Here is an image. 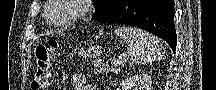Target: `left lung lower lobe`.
<instances>
[{"instance_id": "1", "label": "left lung lower lobe", "mask_w": 216, "mask_h": 90, "mask_svg": "<svg viewBox=\"0 0 216 90\" xmlns=\"http://www.w3.org/2000/svg\"><path fill=\"white\" fill-rule=\"evenodd\" d=\"M174 4L173 0H121L92 20L137 26L162 38L175 51Z\"/></svg>"}]
</instances>
